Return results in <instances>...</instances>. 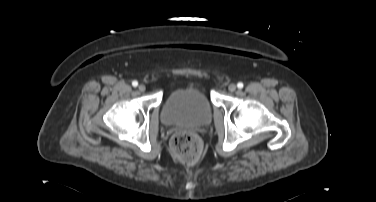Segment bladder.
<instances>
[{
    "label": "bladder",
    "mask_w": 376,
    "mask_h": 202,
    "mask_svg": "<svg viewBox=\"0 0 376 202\" xmlns=\"http://www.w3.org/2000/svg\"><path fill=\"white\" fill-rule=\"evenodd\" d=\"M212 104L201 90L188 87L173 91L164 101L161 120L167 126L200 128L212 120Z\"/></svg>",
    "instance_id": "1"
}]
</instances>
